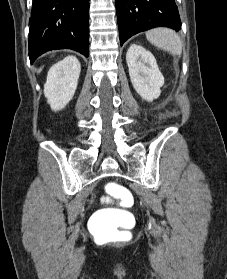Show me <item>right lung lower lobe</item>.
<instances>
[{
  "label": "right lung lower lobe",
  "mask_w": 227,
  "mask_h": 279,
  "mask_svg": "<svg viewBox=\"0 0 227 279\" xmlns=\"http://www.w3.org/2000/svg\"><path fill=\"white\" fill-rule=\"evenodd\" d=\"M29 58L55 49L89 56V0H33Z\"/></svg>",
  "instance_id": "obj_1"
}]
</instances>
